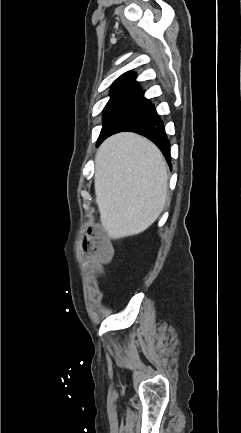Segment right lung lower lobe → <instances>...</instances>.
I'll return each mask as SVG.
<instances>
[{
	"label": "right lung lower lobe",
	"instance_id": "1",
	"mask_svg": "<svg viewBox=\"0 0 241 433\" xmlns=\"http://www.w3.org/2000/svg\"><path fill=\"white\" fill-rule=\"evenodd\" d=\"M122 131L136 132L151 139V141L160 148L168 164H170V142L167 139L163 121L159 118L154 105H150L137 119L131 122Z\"/></svg>",
	"mask_w": 241,
	"mask_h": 433
}]
</instances>
